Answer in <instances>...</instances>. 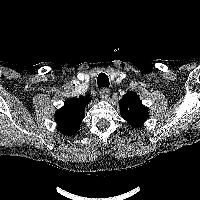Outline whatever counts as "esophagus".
I'll list each match as a JSON object with an SVG mask.
<instances>
[{"instance_id": "1", "label": "esophagus", "mask_w": 200, "mask_h": 200, "mask_svg": "<svg viewBox=\"0 0 200 200\" xmlns=\"http://www.w3.org/2000/svg\"><path fill=\"white\" fill-rule=\"evenodd\" d=\"M109 94H110V90L108 88H106V87L101 88L100 97L102 99L106 100L109 97Z\"/></svg>"}]
</instances>
